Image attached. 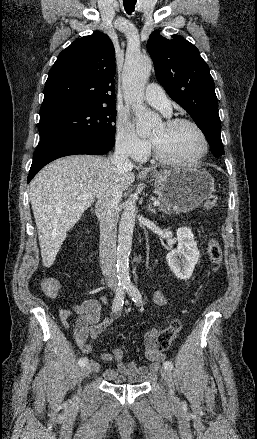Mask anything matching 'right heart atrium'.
Wrapping results in <instances>:
<instances>
[{
  "mask_svg": "<svg viewBox=\"0 0 257 439\" xmlns=\"http://www.w3.org/2000/svg\"><path fill=\"white\" fill-rule=\"evenodd\" d=\"M116 150L135 160L144 159L150 151L149 140L138 135L134 124L126 117H119L115 129Z\"/></svg>",
  "mask_w": 257,
  "mask_h": 439,
  "instance_id": "1",
  "label": "right heart atrium"
}]
</instances>
